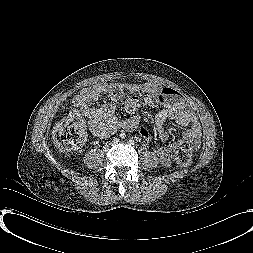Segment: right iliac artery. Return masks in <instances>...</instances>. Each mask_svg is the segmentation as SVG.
I'll use <instances>...</instances> for the list:
<instances>
[{"label": "right iliac artery", "instance_id": "obj_1", "mask_svg": "<svg viewBox=\"0 0 253 253\" xmlns=\"http://www.w3.org/2000/svg\"><path fill=\"white\" fill-rule=\"evenodd\" d=\"M113 142H114V143H118V139L115 138V139L113 140Z\"/></svg>", "mask_w": 253, "mask_h": 253}]
</instances>
